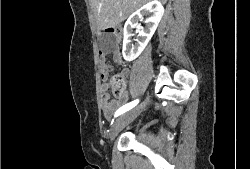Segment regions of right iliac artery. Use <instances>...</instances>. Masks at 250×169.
<instances>
[{"instance_id": "1", "label": "right iliac artery", "mask_w": 250, "mask_h": 169, "mask_svg": "<svg viewBox=\"0 0 250 169\" xmlns=\"http://www.w3.org/2000/svg\"><path fill=\"white\" fill-rule=\"evenodd\" d=\"M138 102H139V100L137 99V100H134V101H132V102H130V103H128V104L122 106L121 108H119V109L116 111V113H115L114 116L117 117V116H119V115L125 113L126 111L132 109L133 107H135V106L138 104Z\"/></svg>"}]
</instances>
